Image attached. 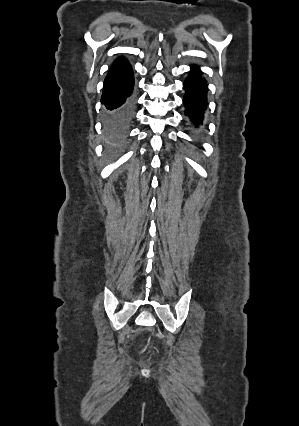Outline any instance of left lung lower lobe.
Segmentation results:
<instances>
[{
    "mask_svg": "<svg viewBox=\"0 0 299 426\" xmlns=\"http://www.w3.org/2000/svg\"><path fill=\"white\" fill-rule=\"evenodd\" d=\"M185 114L195 126L203 123L204 112L207 108V85L197 66H191V71L184 82Z\"/></svg>",
    "mask_w": 299,
    "mask_h": 426,
    "instance_id": "obj_1",
    "label": "left lung lower lobe"
}]
</instances>
